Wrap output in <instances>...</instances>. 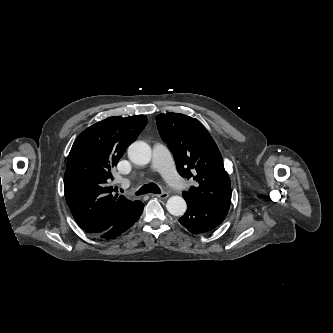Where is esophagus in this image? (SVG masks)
<instances>
[{
	"label": "esophagus",
	"mask_w": 333,
	"mask_h": 333,
	"mask_svg": "<svg viewBox=\"0 0 333 333\" xmlns=\"http://www.w3.org/2000/svg\"><path fill=\"white\" fill-rule=\"evenodd\" d=\"M152 196L160 199H167L169 197V194L167 192H163L161 194H153Z\"/></svg>",
	"instance_id": "obj_1"
}]
</instances>
